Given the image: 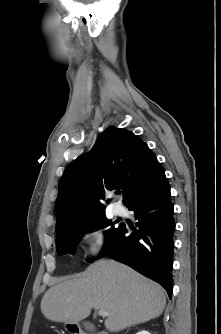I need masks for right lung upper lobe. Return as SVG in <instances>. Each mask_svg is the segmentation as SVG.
Returning a JSON list of instances; mask_svg holds the SVG:
<instances>
[{"label":"right lung upper lobe","mask_w":221,"mask_h":334,"mask_svg":"<svg viewBox=\"0 0 221 334\" xmlns=\"http://www.w3.org/2000/svg\"><path fill=\"white\" fill-rule=\"evenodd\" d=\"M164 175L154 153L131 131L109 127L92 150L71 162L59 183L56 232L104 215L105 189L123 190L124 205Z\"/></svg>","instance_id":"1"}]
</instances>
